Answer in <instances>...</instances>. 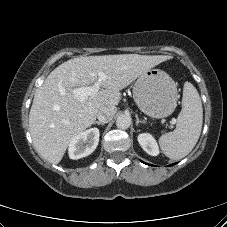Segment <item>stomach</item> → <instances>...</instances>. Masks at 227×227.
Instances as JSON below:
<instances>
[{
  "label": "stomach",
  "instance_id": "obj_1",
  "mask_svg": "<svg viewBox=\"0 0 227 227\" xmlns=\"http://www.w3.org/2000/svg\"><path fill=\"white\" fill-rule=\"evenodd\" d=\"M133 98L144 114L161 119L174 112L178 91L175 82L166 72L150 69L135 82Z\"/></svg>",
  "mask_w": 227,
  "mask_h": 227
}]
</instances>
